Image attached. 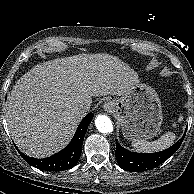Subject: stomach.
<instances>
[{
	"instance_id": "1",
	"label": "stomach",
	"mask_w": 194,
	"mask_h": 194,
	"mask_svg": "<svg viewBox=\"0 0 194 194\" xmlns=\"http://www.w3.org/2000/svg\"><path fill=\"white\" fill-rule=\"evenodd\" d=\"M105 109L119 120L124 137L130 140L153 138L163 120L160 99L146 84H134L120 98L108 100Z\"/></svg>"
}]
</instances>
